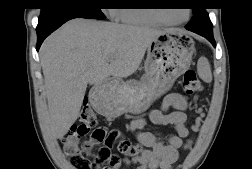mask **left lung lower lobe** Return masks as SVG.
<instances>
[{
	"label": "left lung lower lobe",
	"mask_w": 252,
	"mask_h": 169,
	"mask_svg": "<svg viewBox=\"0 0 252 169\" xmlns=\"http://www.w3.org/2000/svg\"><path fill=\"white\" fill-rule=\"evenodd\" d=\"M187 29V28H186ZM188 30V29H187ZM191 31V30H190ZM192 32H195L199 35H202L204 37H206L214 46H216L215 44V41H214V38H213V34H207V33H204L202 31H192Z\"/></svg>",
	"instance_id": "1"
}]
</instances>
